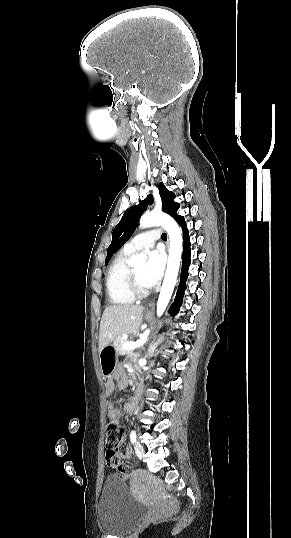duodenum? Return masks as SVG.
I'll return each instance as SVG.
<instances>
[{"label":"duodenum","mask_w":291,"mask_h":538,"mask_svg":"<svg viewBox=\"0 0 291 538\" xmlns=\"http://www.w3.org/2000/svg\"><path fill=\"white\" fill-rule=\"evenodd\" d=\"M140 377H141V374H140L139 372H136V373L134 374L133 381L135 382V383H134V386H135L136 388H141V387L143 386V383L141 382Z\"/></svg>","instance_id":"duodenum-1"}]
</instances>
